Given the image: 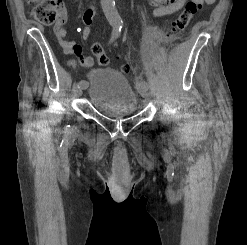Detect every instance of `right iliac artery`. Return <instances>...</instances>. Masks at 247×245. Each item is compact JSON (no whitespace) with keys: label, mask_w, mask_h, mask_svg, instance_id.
Returning a JSON list of instances; mask_svg holds the SVG:
<instances>
[{"label":"right iliac artery","mask_w":247,"mask_h":245,"mask_svg":"<svg viewBox=\"0 0 247 245\" xmlns=\"http://www.w3.org/2000/svg\"><path fill=\"white\" fill-rule=\"evenodd\" d=\"M121 27H114L110 42L114 41L120 35ZM79 87H87L88 83L85 80L79 82Z\"/></svg>","instance_id":"82829eb1"}]
</instances>
